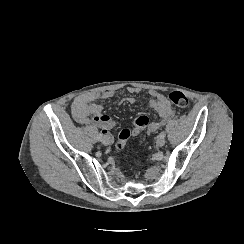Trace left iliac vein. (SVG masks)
I'll list each match as a JSON object with an SVG mask.
<instances>
[{
    "mask_svg": "<svg viewBox=\"0 0 244 244\" xmlns=\"http://www.w3.org/2000/svg\"><path fill=\"white\" fill-rule=\"evenodd\" d=\"M165 139L163 137H158L157 140H156V144L158 147H162L165 145Z\"/></svg>",
    "mask_w": 244,
    "mask_h": 244,
    "instance_id": "obj_1",
    "label": "left iliac vein"
}]
</instances>
